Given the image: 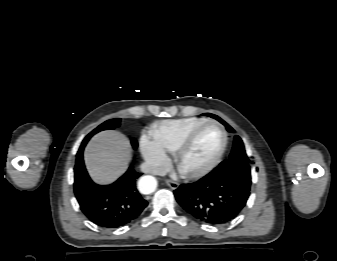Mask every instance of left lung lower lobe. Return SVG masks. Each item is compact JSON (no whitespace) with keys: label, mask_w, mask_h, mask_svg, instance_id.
I'll use <instances>...</instances> for the list:
<instances>
[{"label":"left lung lower lobe","mask_w":337,"mask_h":261,"mask_svg":"<svg viewBox=\"0 0 337 261\" xmlns=\"http://www.w3.org/2000/svg\"><path fill=\"white\" fill-rule=\"evenodd\" d=\"M174 194L177 202L195 219L222 225L239 215L250 189L228 174L211 172L197 182L182 184Z\"/></svg>","instance_id":"0a47b994"}]
</instances>
